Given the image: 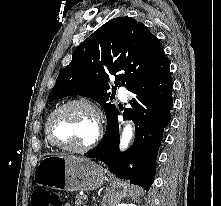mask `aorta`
<instances>
[{"label": "aorta", "instance_id": "762f6f07", "mask_svg": "<svg viewBox=\"0 0 221 206\" xmlns=\"http://www.w3.org/2000/svg\"><path fill=\"white\" fill-rule=\"evenodd\" d=\"M134 130L130 123H127L123 128L121 139H120V149L124 150L128 147L130 140L132 139Z\"/></svg>", "mask_w": 221, "mask_h": 206}]
</instances>
